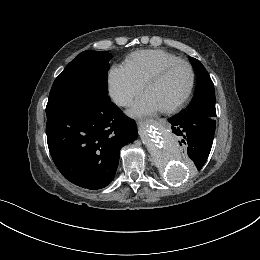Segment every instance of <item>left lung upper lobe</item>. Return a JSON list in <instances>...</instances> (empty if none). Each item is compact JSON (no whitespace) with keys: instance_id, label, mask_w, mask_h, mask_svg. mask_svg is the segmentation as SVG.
Here are the masks:
<instances>
[{"instance_id":"1","label":"left lung upper lobe","mask_w":260,"mask_h":260,"mask_svg":"<svg viewBox=\"0 0 260 260\" xmlns=\"http://www.w3.org/2000/svg\"><path fill=\"white\" fill-rule=\"evenodd\" d=\"M197 75V86L192 102L182 112L196 109H215L214 84L205 67L195 58H191Z\"/></svg>"}]
</instances>
